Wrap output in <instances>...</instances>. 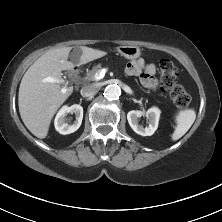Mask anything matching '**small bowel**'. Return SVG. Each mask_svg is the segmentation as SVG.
Returning <instances> with one entry per match:
<instances>
[{"instance_id": "obj_1", "label": "small bowel", "mask_w": 222, "mask_h": 222, "mask_svg": "<svg viewBox=\"0 0 222 222\" xmlns=\"http://www.w3.org/2000/svg\"><path fill=\"white\" fill-rule=\"evenodd\" d=\"M126 73L139 77L141 84L148 89L158 88L159 84L155 78L156 66L152 63L146 64L143 59L134 60L127 65Z\"/></svg>"}]
</instances>
